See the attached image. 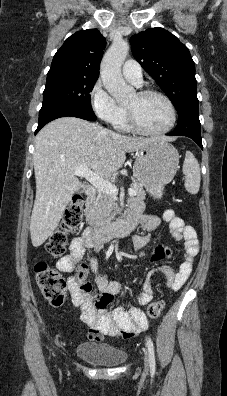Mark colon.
<instances>
[{
  "label": "colon",
  "instance_id": "5ec220e1",
  "mask_svg": "<svg viewBox=\"0 0 227 396\" xmlns=\"http://www.w3.org/2000/svg\"><path fill=\"white\" fill-rule=\"evenodd\" d=\"M83 199L75 196L65 210L60 226L55 230L46 242L45 249L53 257L62 256L68 244V236L82 223ZM37 285L43 297L53 306L63 305L67 296V283L56 269L40 261L35 265ZM164 307L161 300L152 302L147 313L150 317L158 316Z\"/></svg>",
  "mask_w": 227,
  "mask_h": 396
}]
</instances>
